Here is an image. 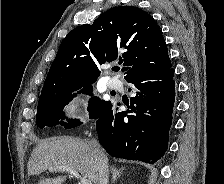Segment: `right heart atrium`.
Listing matches in <instances>:
<instances>
[{
  "label": "right heart atrium",
  "mask_w": 224,
  "mask_h": 184,
  "mask_svg": "<svg viewBox=\"0 0 224 184\" xmlns=\"http://www.w3.org/2000/svg\"><path fill=\"white\" fill-rule=\"evenodd\" d=\"M68 113L71 117L80 121L88 120V113L85 106L80 98L72 99L67 106Z\"/></svg>",
  "instance_id": "d8ad5b80"
}]
</instances>
